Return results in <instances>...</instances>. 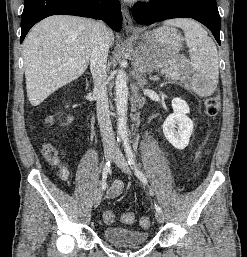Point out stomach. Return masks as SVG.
<instances>
[{
  "label": "stomach",
  "instance_id": "0dacf381",
  "mask_svg": "<svg viewBox=\"0 0 247 257\" xmlns=\"http://www.w3.org/2000/svg\"><path fill=\"white\" fill-rule=\"evenodd\" d=\"M138 45L133 53L135 64L143 71L157 66L173 67L168 76L180 80L186 87L194 89L192 68L180 61L179 51L182 36L176 28L162 26L152 31L134 34Z\"/></svg>",
  "mask_w": 247,
  "mask_h": 257
}]
</instances>
